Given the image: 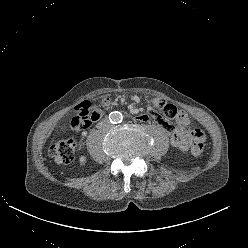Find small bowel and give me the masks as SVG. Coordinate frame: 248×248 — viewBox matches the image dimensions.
Returning a JSON list of instances; mask_svg holds the SVG:
<instances>
[{
    "label": "small bowel",
    "mask_w": 248,
    "mask_h": 248,
    "mask_svg": "<svg viewBox=\"0 0 248 248\" xmlns=\"http://www.w3.org/2000/svg\"><path fill=\"white\" fill-rule=\"evenodd\" d=\"M152 106L147 107L146 112L153 118V120L158 123V125L170 133V143L171 145L181 151H186L191 145L192 136L191 131L187 129L189 125V118L181 110L177 109L176 105H171L168 101L163 100L162 97L156 96L152 98ZM154 108H159L162 112V116ZM134 112H138L139 109L134 108ZM102 110L98 109V114L95 119L98 120L102 116ZM140 121H147L148 116L142 114L139 117ZM170 120H177L178 128L174 129L170 124Z\"/></svg>",
    "instance_id": "small-bowel-1"
}]
</instances>
